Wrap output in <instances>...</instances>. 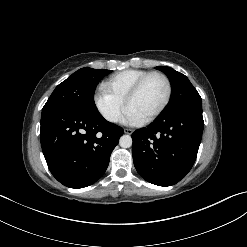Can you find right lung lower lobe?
Returning a JSON list of instances; mask_svg holds the SVG:
<instances>
[{
	"mask_svg": "<svg viewBox=\"0 0 247 247\" xmlns=\"http://www.w3.org/2000/svg\"><path fill=\"white\" fill-rule=\"evenodd\" d=\"M123 129L99 112L59 106L42 110L40 141L52 175L70 188L95 183L106 171Z\"/></svg>",
	"mask_w": 247,
	"mask_h": 247,
	"instance_id": "obj_1",
	"label": "right lung lower lobe"
}]
</instances>
